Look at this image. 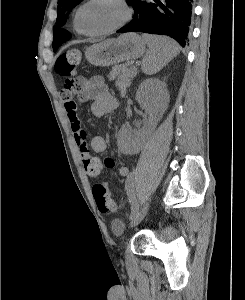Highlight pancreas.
<instances>
[{"label":"pancreas","instance_id":"obj_1","mask_svg":"<svg viewBox=\"0 0 245 300\" xmlns=\"http://www.w3.org/2000/svg\"><path fill=\"white\" fill-rule=\"evenodd\" d=\"M131 65L132 63L130 62L122 65H116L112 68V71L108 76L110 80H114L117 77L116 86L123 94L126 93L127 88L130 86L133 78L137 74V69Z\"/></svg>","mask_w":245,"mask_h":300}]
</instances>
